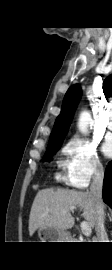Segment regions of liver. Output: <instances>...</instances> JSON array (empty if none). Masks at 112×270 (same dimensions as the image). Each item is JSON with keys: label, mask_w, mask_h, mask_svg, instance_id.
Here are the masks:
<instances>
[{"label": "liver", "mask_w": 112, "mask_h": 270, "mask_svg": "<svg viewBox=\"0 0 112 270\" xmlns=\"http://www.w3.org/2000/svg\"><path fill=\"white\" fill-rule=\"evenodd\" d=\"M77 208L90 227H94L96 208L89 192L54 188L38 191L29 215V234L43 227L70 229L75 223L73 213Z\"/></svg>", "instance_id": "1"}]
</instances>
